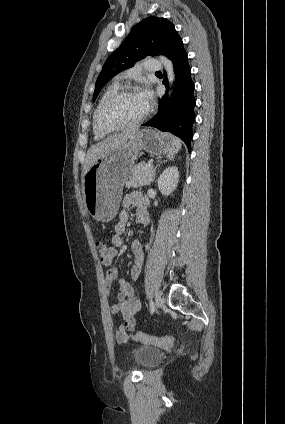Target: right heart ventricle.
I'll list each match as a JSON object with an SVG mask.
<instances>
[{"instance_id": "right-heart-ventricle-1", "label": "right heart ventricle", "mask_w": 285, "mask_h": 424, "mask_svg": "<svg viewBox=\"0 0 285 424\" xmlns=\"http://www.w3.org/2000/svg\"><path fill=\"white\" fill-rule=\"evenodd\" d=\"M119 90V83L118 82H113L111 85H109L106 90L103 92V94L101 95L98 104L94 110L93 113V133L95 136V139H102L104 137H106L110 132H104L101 131L96 124V116H97V112L99 110V108L101 107V105L104 103V101L111 96L112 94H114L116 91Z\"/></svg>"}]
</instances>
